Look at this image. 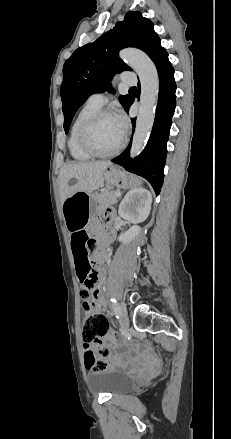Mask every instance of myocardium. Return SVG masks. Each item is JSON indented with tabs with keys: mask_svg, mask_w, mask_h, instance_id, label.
I'll use <instances>...</instances> for the list:
<instances>
[{
	"mask_svg": "<svg viewBox=\"0 0 231 439\" xmlns=\"http://www.w3.org/2000/svg\"><path fill=\"white\" fill-rule=\"evenodd\" d=\"M106 116H113V113L110 110L107 109H99L96 112H94L92 115H90L83 125L81 126L80 132H79V142L81 147L92 157L97 158H110L117 154H119L125 147L126 144V138L123 136L120 144L113 150L108 152H101L99 151L91 140V133L96 125V123L103 117Z\"/></svg>",
	"mask_w": 231,
	"mask_h": 439,
	"instance_id": "f54148a6",
	"label": "myocardium"
}]
</instances>
